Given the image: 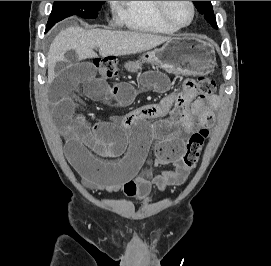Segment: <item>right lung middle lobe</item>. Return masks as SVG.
<instances>
[{"label":"right lung middle lobe","instance_id":"1","mask_svg":"<svg viewBox=\"0 0 271 266\" xmlns=\"http://www.w3.org/2000/svg\"><path fill=\"white\" fill-rule=\"evenodd\" d=\"M104 1H54L46 31L60 20L77 15L82 18H96Z\"/></svg>","mask_w":271,"mask_h":266}]
</instances>
